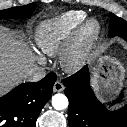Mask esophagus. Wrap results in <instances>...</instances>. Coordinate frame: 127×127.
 <instances>
[{"label":"esophagus","instance_id":"34e87169","mask_svg":"<svg viewBox=\"0 0 127 127\" xmlns=\"http://www.w3.org/2000/svg\"><path fill=\"white\" fill-rule=\"evenodd\" d=\"M64 90V85L60 81H56L53 86L54 92H61Z\"/></svg>","mask_w":127,"mask_h":127}]
</instances>
